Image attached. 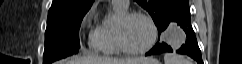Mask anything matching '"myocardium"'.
Instances as JSON below:
<instances>
[{
  "label": "myocardium",
  "mask_w": 242,
  "mask_h": 64,
  "mask_svg": "<svg viewBox=\"0 0 242 64\" xmlns=\"http://www.w3.org/2000/svg\"><path fill=\"white\" fill-rule=\"evenodd\" d=\"M137 17L143 18L149 23V25L151 27V37H150L149 42L143 48L133 49V48H130L124 40L123 27H124V24L128 20H130L132 18H137ZM157 35H158V29H157L156 23L154 22L153 18L146 13L138 12V11L126 12L122 16H120V18L118 19L117 42H118V46H119L120 50L126 54L140 55V54H144V53L148 52L154 46V44L157 40Z\"/></svg>",
  "instance_id": "myocardium-1"
}]
</instances>
